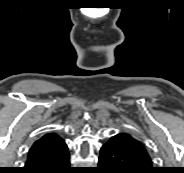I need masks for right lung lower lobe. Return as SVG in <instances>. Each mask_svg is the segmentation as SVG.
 <instances>
[{
	"instance_id": "right-lung-lower-lobe-1",
	"label": "right lung lower lobe",
	"mask_w": 184,
	"mask_h": 173,
	"mask_svg": "<svg viewBox=\"0 0 184 173\" xmlns=\"http://www.w3.org/2000/svg\"><path fill=\"white\" fill-rule=\"evenodd\" d=\"M21 173H75L70 166L68 147L46 156L28 158Z\"/></svg>"
}]
</instances>
